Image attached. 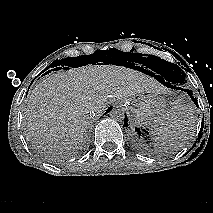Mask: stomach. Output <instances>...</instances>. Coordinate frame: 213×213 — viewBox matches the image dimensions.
<instances>
[{"label": "stomach", "instance_id": "1", "mask_svg": "<svg viewBox=\"0 0 213 213\" xmlns=\"http://www.w3.org/2000/svg\"><path fill=\"white\" fill-rule=\"evenodd\" d=\"M162 92L144 93L125 100L136 126L149 129L158 126V117L167 112Z\"/></svg>", "mask_w": 213, "mask_h": 213}]
</instances>
